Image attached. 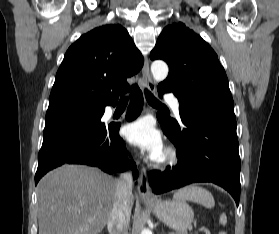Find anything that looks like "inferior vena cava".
<instances>
[{
	"label": "inferior vena cava",
	"instance_id": "obj_1",
	"mask_svg": "<svg viewBox=\"0 0 279 234\" xmlns=\"http://www.w3.org/2000/svg\"><path fill=\"white\" fill-rule=\"evenodd\" d=\"M133 178L131 173H122L116 180V201L107 222L109 234H128L131 216L130 198Z\"/></svg>",
	"mask_w": 279,
	"mask_h": 234
}]
</instances>
